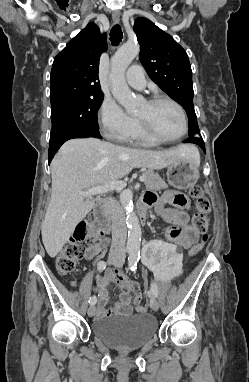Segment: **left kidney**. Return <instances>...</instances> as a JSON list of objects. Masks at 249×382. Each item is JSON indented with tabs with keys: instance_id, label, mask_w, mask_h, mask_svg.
Segmentation results:
<instances>
[{
	"instance_id": "left-kidney-1",
	"label": "left kidney",
	"mask_w": 249,
	"mask_h": 382,
	"mask_svg": "<svg viewBox=\"0 0 249 382\" xmlns=\"http://www.w3.org/2000/svg\"><path fill=\"white\" fill-rule=\"evenodd\" d=\"M169 244V241L163 240L162 237H154L153 241H147L140 255V265L151 269L155 277H184L186 269L182 266L180 245ZM164 286L170 287L171 281L165 280Z\"/></svg>"
}]
</instances>
